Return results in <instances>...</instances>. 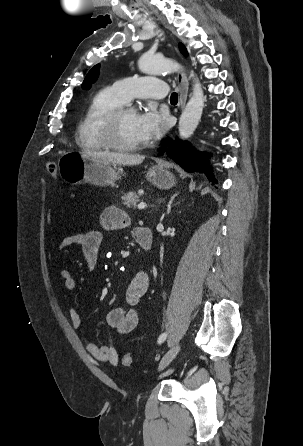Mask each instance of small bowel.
<instances>
[{"mask_svg": "<svg viewBox=\"0 0 303 446\" xmlns=\"http://www.w3.org/2000/svg\"><path fill=\"white\" fill-rule=\"evenodd\" d=\"M100 222L107 231L125 228L130 223L126 213L114 206L107 207L103 211ZM137 231L138 229H135L133 234L135 235ZM102 242L103 235L100 231L89 230L65 236L60 241L58 250L65 251L72 246H80L87 268L89 271H92L98 263ZM59 275L64 282V288L67 292H72L76 289V279L67 268L61 267ZM149 284L150 278L148 274L145 271L137 272L127 286L125 305L114 308L107 313V324L117 330L119 334L126 335L136 328L138 323L136 307L147 292ZM69 316L74 328H79L82 325V316L75 307L69 308ZM86 350L91 356L101 362H107L111 365L118 363V354L113 347L100 346L95 342H88Z\"/></svg>", "mask_w": 303, "mask_h": 446, "instance_id": "c3829d8e", "label": "small bowel"}]
</instances>
